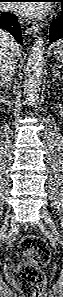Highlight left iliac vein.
Segmentation results:
<instances>
[{"label": "left iliac vein", "mask_w": 63, "mask_h": 297, "mask_svg": "<svg viewBox=\"0 0 63 297\" xmlns=\"http://www.w3.org/2000/svg\"><path fill=\"white\" fill-rule=\"evenodd\" d=\"M40 214H41V217L44 219V221L48 224L49 229L51 230V232L54 235H56L57 230H56V227L54 225V222L51 219V216L49 215V213L46 210H41Z\"/></svg>", "instance_id": "obj_1"}]
</instances>
